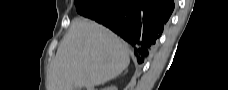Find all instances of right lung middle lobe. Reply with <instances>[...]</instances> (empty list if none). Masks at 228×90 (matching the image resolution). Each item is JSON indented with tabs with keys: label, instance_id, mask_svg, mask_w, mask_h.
I'll list each match as a JSON object with an SVG mask.
<instances>
[{
	"label": "right lung middle lobe",
	"instance_id": "right-lung-middle-lobe-1",
	"mask_svg": "<svg viewBox=\"0 0 228 90\" xmlns=\"http://www.w3.org/2000/svg\"><path fill=\"white\" fill-rule=\"evenodd\" d=\"M77 12L82 16L98 14L103 8L105 0H75Z\"/></svg>",
	"mask_w": 228,
	"mask_h": 90
}]
</instances>
